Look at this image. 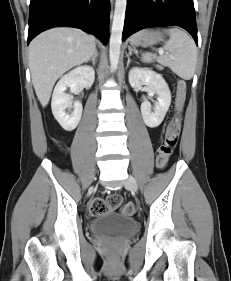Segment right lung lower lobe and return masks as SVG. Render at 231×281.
<instances>
[{
    "label": "right lung lower lobe",
    "instance_id": "98d812e1",
    "mask_svg": "<svg viewBox=\"0 0 231 281\" xmlns=\"http://www.w3.org/2000/svg\"><path fill=\"white\" fill-rule=\"evenodd\" d=\"M109 0H31L28 44L40 32L58 26L80 28L108 41Z\"/></svg>",
    "mask_w": 231,
    "mask_h": 281
}]
</instances>
